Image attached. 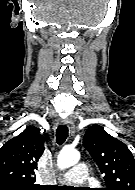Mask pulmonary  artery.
Masks as SVG:
<instances>
[{
    "label": "pulmonary artery",
    "instance_id": "obj_1",
    "mask_svg": "<svg viewBox=\"0 0 135 190\" xmlns=\"http://www.w3.org/2000/svg\"><path fill=\"white\" fill-rule=\"evenodd\" d=\"M87 179L88 167L85 163H77L61 177V180L66 183H83Z\"/></svg>",
    "mask_w": 135,
    "mask_h": 190
}]
</instances>
